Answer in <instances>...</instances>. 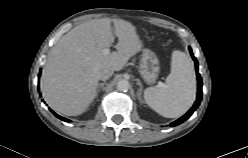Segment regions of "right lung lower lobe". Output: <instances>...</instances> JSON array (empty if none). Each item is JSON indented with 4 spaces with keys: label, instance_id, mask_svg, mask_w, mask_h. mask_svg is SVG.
Here are the masks:
<instances>
[{
    "label": "right lung lower lobe",
    "instance_id": "obj_1",
    "mask_svg": "<svg viewBox=\"0 0 248 158\" xmlns=\"http://www.w3.org/2000/svg\"><path fill=\"white\" fill-rule=\"evenodd\" d=\"M52 113H53L56 117H58V118H60V119H62V120H64V121H68V122L70 121V120H68V119H65V118H63V117L57 115V114L54 113L53 111H52Z\"/></svg>",
    "mask_w": 248,
    "mask_h": 158
}]
</instances>
